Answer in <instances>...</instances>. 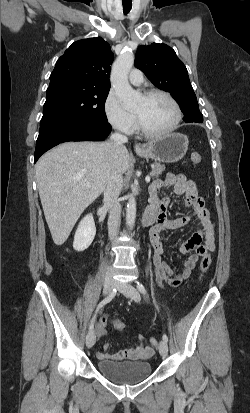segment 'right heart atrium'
<instances>
[{"mask_svg":"<svg viewBox=\"0 0 250 413\" xmlns=\"http://www.w3.org/2000/svg\"><path fill=\"white\" fill-rule=\"evenodd\" d=\"M104 114L108 123L117 131L132 134L136 129V117L122 104L114 91H110L104 101Z\"/></svg>","mask_w":250,"mask_h":413,"instance_id":"obj_1","label":"right heart atrium"}]
</instances>
